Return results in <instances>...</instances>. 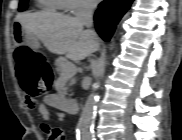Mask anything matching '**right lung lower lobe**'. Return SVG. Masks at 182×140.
<instances>
[{
    "label": "right lung lower lobe",
    "mask_w": 182,
    "mask_h": 140,
    "mask_svg": "<svg viewBox=\"0 0 182 140\" xmlns=\"http://www.w3.org/2000/svg\"><path fill=\"white\" fill-rule=\"evenodd\" d=\"M133 0H106L99 5L94 20L98 34L109 41L116 25L129 9Z\"/></svg>",
    "instance_id": "obj_1"
}]
</instances>
